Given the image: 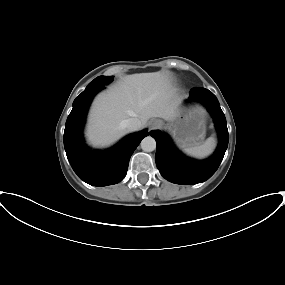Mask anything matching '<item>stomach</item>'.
Returning a JSON list of instances; mask_svg holds the SVG:
<instances>
[{
	"label": "stomach",
	"mask_w": 285,
	"mask_h": 285,
	"mask_svg": "<svg viewBox=\"0 0 285 285\" xmlns=\"http://www.w3.org/2000/svg\"><path fill=\"white\" fill-rule=\"evenodd\" d=\"M206 113L201 107L193 108L168 121L165 128L182 148L196 146L205 138Z\"/></svg>",
	"instance_id": "obj_1"
}]
</instances>
